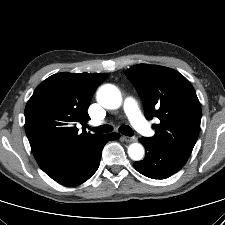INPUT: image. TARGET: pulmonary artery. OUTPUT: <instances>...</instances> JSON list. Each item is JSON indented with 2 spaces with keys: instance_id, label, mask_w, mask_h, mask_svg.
<instances>
[{
  "instance_id": "pulmonary-artery-1",
  "label": "pulmonary artery",
  "mask_w": 225,
  "mask_h": 225,
  "mask_svg": "<svg viewBox=\"0 0 225 225\" xmlns=\"http://www.w3.org/2000/svg\"><path fill=\"white\" fill-rule=\"evenodd\" d=\"M123 106L127 117L135 129L144 136H150L152 130L146 119L143 117L136 101L132 97H127L124 100Z\"/></svg>"
}]
</instances>
